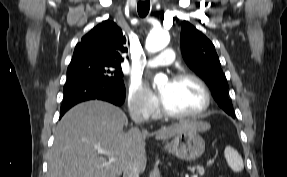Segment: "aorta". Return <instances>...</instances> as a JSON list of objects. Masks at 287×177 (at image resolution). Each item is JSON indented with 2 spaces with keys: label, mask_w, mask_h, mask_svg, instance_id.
<instances>
[{
  "label": "aorta",
  "mask_w": 287,
  "mask_h": 177,
  "mask_svg": "<svg viewBox=\"0 0 287 177\" xmlns=\"http://www.w3.org/2000/svg\"><path fill=\"white\" fill-rule=\"evenodd\" d=\"M170 41V36L166 31H151L146 39V50L150 53H155L165 48ZM167 81V77L163 74H158L154 78V84L161 85Z\"/></svg>",
  "instance_id": "1"
}]
</instances>
